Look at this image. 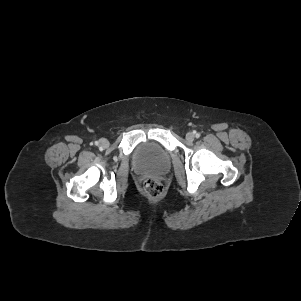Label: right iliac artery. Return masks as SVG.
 Returning a JSON list of instances; mask_svg holds the SVG:
<instances>
[{"mask_svg":"<svg viewBox=\"0 0 301 301\" xmlns=\"http://www.w3.org/2000/svg\"><path fill=\"white\" fill-rule=\"evenodd\" d=\"M98 144H99V142H98V141H96V142H95V145H98Z\"/></svg>","mask_w":301,"mask_h":301,"instance_id":"82829eb1","label":"right iliac artery"}]
</instances>
